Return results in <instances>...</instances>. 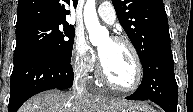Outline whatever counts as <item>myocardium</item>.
<instances>
[{"label":"myocardium","instance_id":"1","mask_svg":"<svg viewBox=\"0 0 193 112\" xmlns=\"http://www.w3.org/2000/svg\"><path fill=\"white\" fill-rule=\"evenodd\" d=\"M111 40L116 42V43L124 44L129 48V50L133 56L134 63H135V69H136L135 79L130 86L123 87V86L116 84L106 74V72L103 68L101 59L98 63V74H99L100 78L102 79V81L105 84H107L109 87H111L112 89L120 91V92H125V93L133 92V91L138 89V87L140 86L142 79H143V67H142L139 53H138L136 47L133 45V43L130 40H128L127 38H124L121 36H114L111 38Z\"/></svg>","mask_w":193,"mask_h":112}]
</instances>
